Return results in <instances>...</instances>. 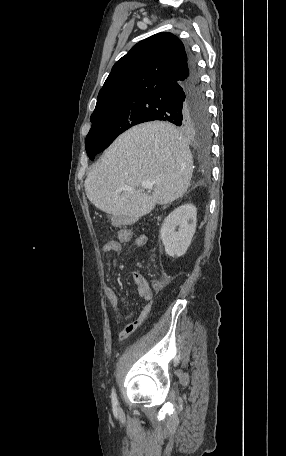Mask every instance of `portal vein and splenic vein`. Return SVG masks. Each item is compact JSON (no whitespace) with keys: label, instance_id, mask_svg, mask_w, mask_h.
<instances>
[{"label":"portal vein and splenic vein","instance_id":"obj_1","mask_svg":"<svg viewBox=\"0 0 286 456\" xmlns=\"http://www.w3.org/2000/svg\"><path fill=\"white\" fill-rule=\"evenodd\" d=\"M155 184L154 181H151V180H144L142 183H141V187L144 188V189H151L153 187V185ZM128 190H133V188H127Z\"/></svg>","mask_w":286,"mask_h":456}]
</instances>
